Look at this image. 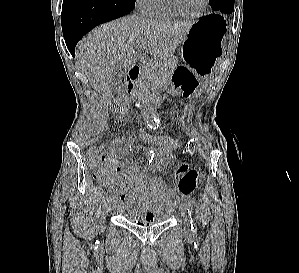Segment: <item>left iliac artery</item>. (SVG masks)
<instances>
[{
	"label": "left iliac artery",
	"mask_w": 299,
	"mask_h": 273,
	"mask_svg": "<svg viewBox=\"0 0 299 273\" xmlns=\"http://www.w3.org/2000/svg\"><path fill=\"white\" fill-rule=\"evenodd\" d=\"M185 206H186V208H187V210H188V212H189V214L191 216L192 215V209H193L191 201L186 199L185 200ZM191 231H192L193 234L197 233V226L193 222V220L191 222Z\"/></svg>",
	"instance_id": "1"
}]
</instances>
